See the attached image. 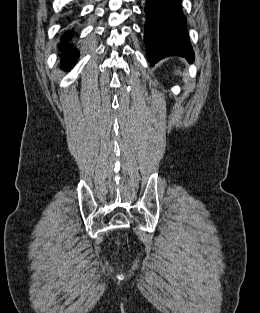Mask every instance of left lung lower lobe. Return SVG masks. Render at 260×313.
I'll list each match as a JSON object with an SVG mask.
<instances>
[{
  "instance_id": "0a47b994",
  "label": "left lung lower lobe",
  "mask_w": 260,
  "mask_h": 313,
  "mask_svg": "<svg viewBox=\"0 0 260 313\" xmlns=\"http://www.w3.org/2000/svg\"><path fill=\"white\" fill-rule=\"evenodd\" d=\"M146 1L144 42L148 60L153 64L166 56L178 55L192 62L194 52L180 0Z\"/></svg>"
}]
</instances>
